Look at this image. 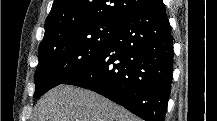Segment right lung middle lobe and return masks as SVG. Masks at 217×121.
Returning a JSON list of instances; mask_svg holds the SVG:
<instances>
[{
  "label": "right lung middle lobe",
  "instance_id": "1",
  "mask_svg": "<svg viewBox=\"0 0 217 121\" xmlns=\"http://www.w3.org/2000/svg\"><path fill=\"white\" fill-rule=\"evenodd\" d=\"M121 23L98 22L82 25L39 47L34 97L78 74L103 52Z\"/></svg>",
  "mask_w": 217,
  "mask_h": 121
}]
</instances>
